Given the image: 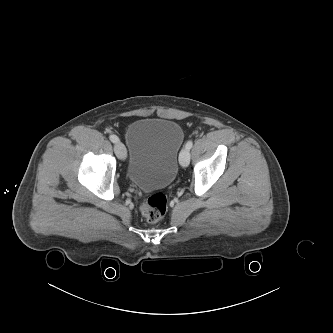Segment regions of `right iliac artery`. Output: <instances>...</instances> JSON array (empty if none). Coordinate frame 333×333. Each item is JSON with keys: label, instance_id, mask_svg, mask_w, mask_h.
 <instances>
[{"label": "right iliac artery", "instance_id": "obj_1", "mask_svg": "<svg viewBox=\"0 0 333 333\" xmlns=\"http://www.w3.org/2000/svg\"><path fill=\"white\" fill-rule=\"evenodd\" d=\"M109 139H110L112 142H114V143H116V142L119 141V138H118L116 135H110V136H109Z\"/></svg>", "mask_w": 333, "mask_h": 333}]
</instances>
